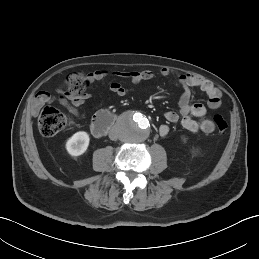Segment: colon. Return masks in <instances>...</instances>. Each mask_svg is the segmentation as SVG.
<instances>
[{
    "label": "colon",
    "mask_w": 259,
    "mask_h": 259,
    "mask_svg": "<svg viewBox=\"0 0 259 259\" xmlns=\"http://www.w3.org/2000/svg\"><path fill=\"white\" fill-rule=\"evenodd\" d=\"M88 83V77L82 73L69 75L66 79V95L69 97H78L83 93ZM67 124V116L54 107H45L38 120L39 131L45 137H51L57 134L63 130ZM213 124L218 133L222 134L227 131L228 123L223 116L215 115L213 117Z\"/></svg>",
    "instance_id": "1"
}]
</instances>
